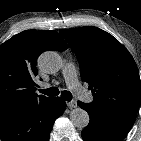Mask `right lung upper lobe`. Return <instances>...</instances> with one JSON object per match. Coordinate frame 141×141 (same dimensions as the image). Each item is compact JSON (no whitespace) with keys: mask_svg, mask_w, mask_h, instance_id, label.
<instances>
[{"mask_svg":"<svg viewBox=\"0 0 141 141\" xmlns=\"http://www.w3.org/2000/svg\"><path fill=\"white\" fill-rule=\"evenodd\" d=\"M66 49V42L56 31L42 30L23 31L0 46V123L13 113L51 99L35 93L37 58L44 51Z\"/></svg>","mask_w":141,"mask_h":141,"instance_id":"right-lung-upper-lobe-1","label":"right lung upper lobe"}]
</instances>
